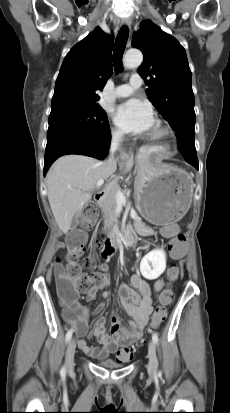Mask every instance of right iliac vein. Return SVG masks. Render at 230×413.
Wrapping results in <instances>:
<instances>
[{
	"instance_id": "63e3f726",
	"label": "right iliac vein",
	"mask_w": 230,
	"mask_h": 413,
	"mask_svg": "<svg viewBox=\"0 0 230 413\" xmlns=\"http://www.w3.org/2000/svg\"><path fill=\"white\" fill-rule=\"evenodd\" d=\"M76 350V341L72 338L69 342L66 352V367L68 371H71L74 367V355Z\"/></svg>"
}]
</instances>
